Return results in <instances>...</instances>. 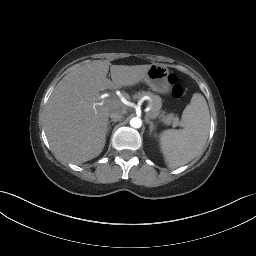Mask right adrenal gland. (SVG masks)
Segmentation results:
<instances>
[{
    "label": "right adrenal gland",
    "instance_id": "1",
    "mask_svg": "<svg viewBox=\"0 0 256 256\" xmlns=\"http://www.w3.org/2000/svg\"><path fill=\"white\" fill-rule=\"evenodd\" d=\"M116 122H117L116 120H110V121L108 122L107 130H106L107 134H108V132H109V130H110V123H116Z\"/></svg>",
    "mask_w": 256,
    "mask_h": 256
}]
</instances>
